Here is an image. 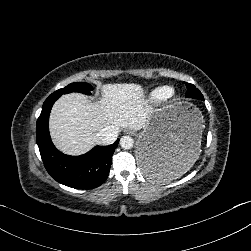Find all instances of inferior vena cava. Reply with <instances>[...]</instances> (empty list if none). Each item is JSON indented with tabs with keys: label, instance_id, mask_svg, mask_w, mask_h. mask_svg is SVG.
I'll list each match as a JSON object with an SVG mask.
<instances>
[{
	"label": "inferior vena cava",
	"instance_id": "1",
	"mask_svg": "<svg viewBox=\"0 0 251 251\" xmlns=\"http://www.w3.org/2000/svg\"><path fill=\"white\" fill-rule=\"evenodd\" d=\"M119 128L117 126H107L97 133V140L102 145H111L117 139V132Z\"/></svg>",
	"mask_w": 251,
	"mask_h": 251
}]
</instances>
